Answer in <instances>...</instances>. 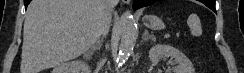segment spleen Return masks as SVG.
<instances>
[{
  "mask_svg": "<svg viewBox=\"0 0 244 73\" xmlns=\"http://www.w3.org/2000/svg\"><path fill=\"white\" fill-rule=\"evenodd\" d=\"M187 24L190 27L191 35L195 37H199L202 34V28H201V22L199 17L192 13L188 19H187Z\"/></svg>",
  "mask_w": 244,
  "mask_h": 73,
  "instance_id": "1",
  "label": "spleen"
}]
</instances>
